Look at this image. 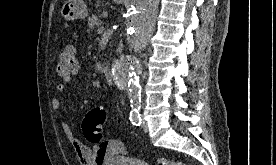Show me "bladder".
Masks as SVG:
<instances>
[{"instance_id":"bladder-1","label":"bladder","mask_w":276,"mask_h":165,"mask_svg":"<svg viewBox=\"0 0 276 165\" xmlns=\"http://www.w3.org/2000/svg\"><path fill=\"white\" fill-rule=\"evenodd\" d=\"M108 165H149L148 163L128 157H115Z\"/></svg>"}]
</instances>
